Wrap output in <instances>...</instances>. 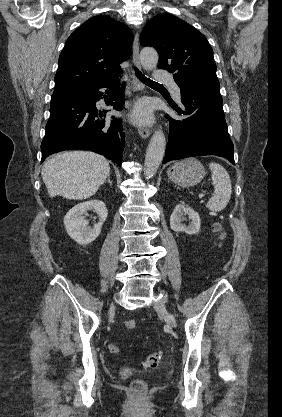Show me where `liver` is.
Listing matches in <instances>:
<instances>
[{"mask_svg": "<svg viewBox=\"0 0 282 417\" xmlns=\"http://www.w3.org/2000/svg\"><path fill=\"white\" fill-rule=\"evenodd\" d=\"M109 160L87 150L59 152L46 160L41 170L49 196L83 200L97 192L109 176Z\"/></svg>", "mask_w": 282, "mask_h": 417, "instance_id": "liver-1", "label": "liver"}]
</instances>
